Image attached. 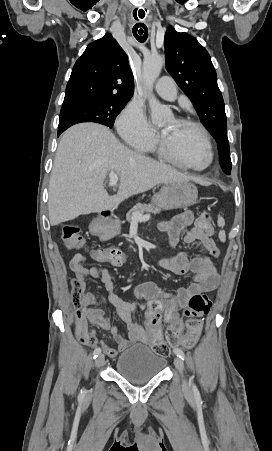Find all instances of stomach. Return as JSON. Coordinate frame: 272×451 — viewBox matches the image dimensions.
Instances as JSON below:
<instances>
[{
	"label": "stomach",
	"mask_w": 272,
	"mask_h": 451,
	"mask_svg": "<svg viewBox=\"0 0 272 451\" xmlns=\"http://www.w3.org/2000/svg\"><path fill=\"white\" fill-rule=\"evenodd\" d=\"M197 198L198 190L191 182H168L154 194L152 204L160 210H176L197 204Z\"/></svg>",
	"instance_id": "obj_1"
}]
</instances>
